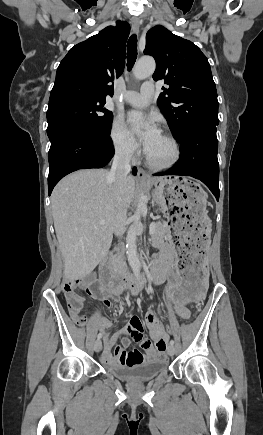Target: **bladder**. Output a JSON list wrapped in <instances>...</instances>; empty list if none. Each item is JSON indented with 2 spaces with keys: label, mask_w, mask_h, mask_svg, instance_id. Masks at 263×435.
<instances>
[{
  "label": "bladder",
  "mask_w": 263,
  "mask_h": 435,
  "mask_svg": "<svg viewBox=\"0 0 263 435\" xmlns=\"http://www.w3.org/2000/svg\"><path fill=\"white\" fill-rule=\"evenodd\" d=\"M167 364V359L164 357H156L133 365L105 364V368L112 375L122 380L143 382L163 373L167 368Z\"/></svg>",
  "instance_id": "31cf9c89"
}]
</instances>
